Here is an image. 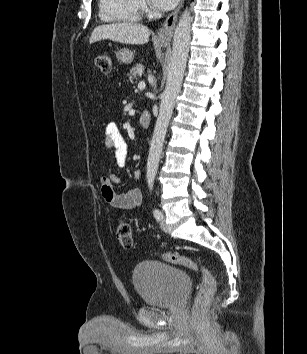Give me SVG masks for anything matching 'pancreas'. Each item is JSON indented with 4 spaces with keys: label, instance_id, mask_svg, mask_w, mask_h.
<instances>
[{
    "label": "pancreas",
    "instance_id": "pancreas-1",
    "mask_svg": "<svg viewBox=\"0 0 307 354\" xmlns=\"http://www.w3.org/2000/svg\"><path fill=\"white\" fill-rule=\"evenodd\" d=\"M144 71V66L142 64H137L134 67H132V69L130 70V72L128 73L129 79L131 82H133V80H138Z\"/></svg>",
    "mask_w": 307,
    "mask_h": 354
}]
</instances>
